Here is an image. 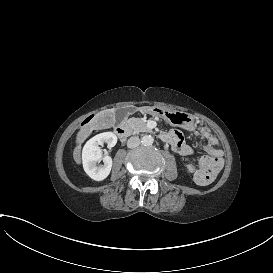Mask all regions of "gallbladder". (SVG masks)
Returning a JSON list of instances; mask_svg holds the SVG:
<instances>
[{
    "mask_svg": "<svg viewBox=\"0 0 273 273\" xmlns=\"http://www.w3.org/2000/svg\"><path fill=\"white\" fill-rule=\"evenodd\" d=\"M137 107L136 106H131V107H126V108H120L117 110L116 112V118L118 122H121L122 120H124V118L126 117V115L131 114V113H136L137 112Z\"/></svg>",
    "mask_w": 273,
    "mask_h": 273,
    "instance_id": "obj_1",
    "label": "gallbladder"
}]
</instances>
